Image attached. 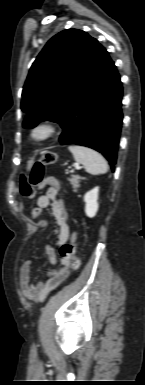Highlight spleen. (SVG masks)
<instances>
[{
	"label": "spleen",
	"mask_w": 145,
	"mask_h": 385,
	"mask_svg": "<svg viewBox=\"0 0 145 385\" xmlns=\"http://www.w3.org/2000/svg\"><path fill=\"white\" fill-rule=\"evenodd\" d=\"M68 149L77 163L84 166L86 171L93 175L104 174L108 171V164L101 154L91 148L72 145Z\"/></svg>",
	"instance_id": "1"
}]
</instances>
